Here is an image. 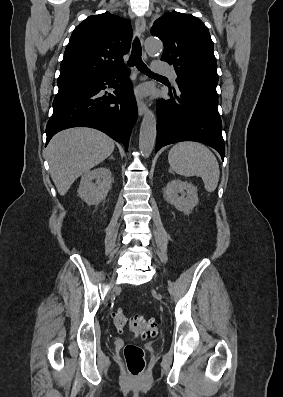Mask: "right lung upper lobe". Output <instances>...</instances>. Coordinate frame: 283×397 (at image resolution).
<instances>
[{
    "mask_svg": "<svg viewBox=\"0 0 283 397\" xmlns=\"http://www.w3.org/2000/svg\"><path fill=\"white\" fill-rule=\"evenodd\" d=\"M132 28L128 19L105 12L89 16L73 31L60 66L58 84L87 81L123 68Z\"/></svg>",
    "mask_w": 283,
    "mask_h": 397,
    "instance_id": "1",
    "label": "right lung upper lobe"
}]
</instances>
